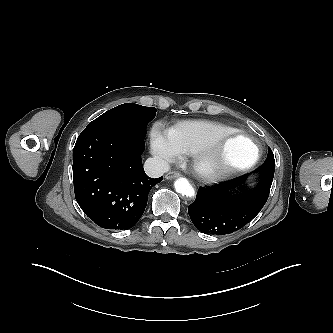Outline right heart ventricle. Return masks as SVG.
<instances>
[{"mask_svg":"<svg viewBox=\"0 0 333 333\" xmlns=\"http://www.w3.org/2000/svg\"><path fill=\"white\" fill-rule=\"evenodd\" d=\"M235 129L211 120H186L175 124L170 133L185 154H192L215 137Z\"/></svg>","mask_w":333,"mask_h":333,"instance_id":"1","label":"right heart ventricle"}]
</instances>
